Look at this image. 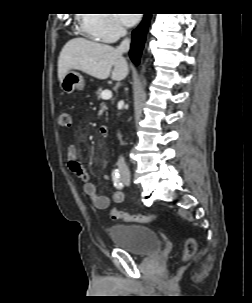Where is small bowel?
I'll return each mask as SVG.
<instances>
[{
    "label": "small bowel",
    "instance_id": "small-bowel-1",
    "mask_svg": "<svg viewBox=\"0 0 252 303\" xmlns=\"http://www.w3.org/2000/svg\"><path fill=\"white\" fill-rule=\"evenodd\" d=\"M66 162L70 173L82 180L83 193L91 200L95 208L107 209L111 205L112 201L116 203L123 201L124 194L121 191H116L113 194L112 199L107 195H101L97 193L95 185L89 181V175L87 171L78 161V151L77 147L74 144L69 145L67 148ZM104 180L108 182L109 177L104 176Z\"/></svg>",
    "mask_w": 252,
    "mask_h": 303
}]
</instances>
